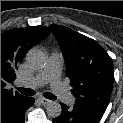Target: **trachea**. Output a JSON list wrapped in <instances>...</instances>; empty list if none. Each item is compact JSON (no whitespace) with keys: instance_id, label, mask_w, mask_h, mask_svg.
I'll return each mask as SVG.
<instances>
[{"instance_id":"3493384b","label":"trachea","mask_w":123,"mask_h":123,"mask_svg":"<svg viewBox=\"0 0 123 123\" xmlns=\"http://www.w3.org/2000/svg\"><path fill=\"white\" fill-rule=\"evenodd\" d=\"M21 94L26 95V96H33L35 94V91L33 89H27V88H18ZM44 97L50 100H55L56 97L50 92H45Z\"/></svg>"}]
</instances>
